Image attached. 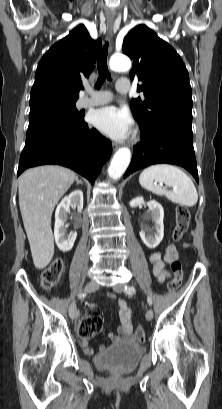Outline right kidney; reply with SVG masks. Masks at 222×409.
<instances>
[{"mask_svg":"<svg viewBox=\"0 0 222 409\" xmlns=\"http://www.w3.org/2000/svg\"><path fill=\"white\" fill-rule=\"evenodd\" d=\"M70 206L77 208L78 211L83 209V192L81 190H75L65 196L56 208L54 237L58 248L63 252L72 249L77 237V232L67 233L66 231L65 222L67 221Z\"/></svg>","mask_w":222,"mask_h":409,"instance_id":"right-kidney-1","label":"right kidney"}]
</instances>
